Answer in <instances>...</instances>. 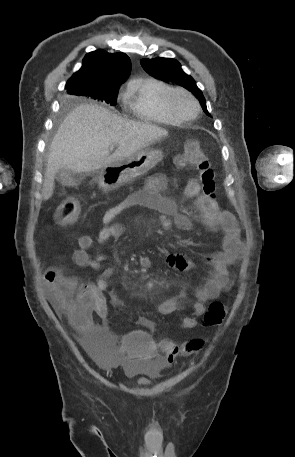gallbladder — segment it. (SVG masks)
Listing matches in <instances>:
<instances>
[{
  "mask_svg": "<svg viewBox=\"0 0 295 457\" xmlns=\"http://www.w3.org/2000/svg\"><path fill=\"white\" fill-rule=\"evenodd\" d=\"M55 179L64 186H77L82 180V175L72 173L65 169H60L56 173Z\"/></svg>",
  "mask_w": 295,
  "mask_h": 457,
  "instance_id": "1",
  "label": "gallbladder"
}]
</instances>
